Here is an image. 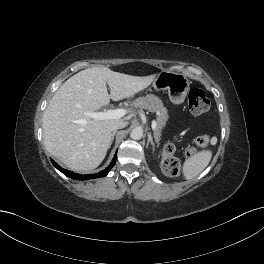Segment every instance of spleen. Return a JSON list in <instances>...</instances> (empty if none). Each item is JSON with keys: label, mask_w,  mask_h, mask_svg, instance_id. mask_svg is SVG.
Returning a JSON list of instances; mask_svg holds the SVG:
<instances>
[{"label": "spleen", "mask_w": 264, "mask_h": 264, "mask_svg": "<svg viewBox=\"0 0 264 264\" xmlns=\"http://www.w3.org/2000/svg\"><path fill=\"white\" fill-rule=\"evenodd\" d=\"M211 158L212 152L210 150H202L190 156L182 168L185 179L190 180L199 175L208 166Z\"/></svg>", "instance_id": "1"}]
</instances>
